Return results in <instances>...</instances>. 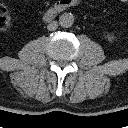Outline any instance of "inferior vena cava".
I'll use <instances>...</instances> for the list:
<instances>
[{"label":"inferior vena cava","instance_id":"602c4592","mask_svg":"<svg viewBox=\"0 0 128 128\" xmlns=\"http://www.w3.org/2000/svg\"><path fill=\"white\" fill-rule=\"evenodd\" d=\"M58 28V22L57 21H52L47 25V29L49 31H54Z\"/></svg>","mask_w":128,"mask_h":128}]
</instances>
